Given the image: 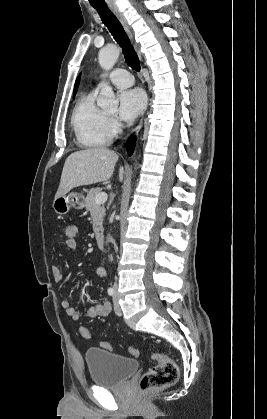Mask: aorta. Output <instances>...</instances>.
<instances>
[{"mask_svg":"<svg viewBox=\"0 0 267 419\" xmlns=\"http://www.w3.org/2000/svg\"><path fill=\"white\" fill-rule=\"evenodd\" d=\"M119 54L120 50L117 46L102 48L98 55L100 66L106 71L112 69L119 57ZM118 103L119 102L115 97L112 87L103 82L101 84L100 97L97 100L98 106L103 109H117Z\"/></svg>","mask_w":267,"mask_h":419,"instance_id":"aorta-1","label":"aorta"}]
</instances>
